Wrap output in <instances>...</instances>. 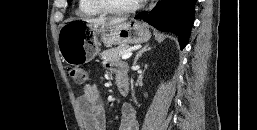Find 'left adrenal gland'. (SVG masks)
<instances>
[{
  "instance_id": "a2214340",
  "label": "left adrenal gland",
  "mask_w": 257,
  "mask_h": 130,
  "mask_svg": "<svg viewBox=\"0 0 257 130\" xmlns=\"http://www.w3.org/2000/svg\"><path fill=\"white\" fill-rule=\"evenodd\" d=\"M150 49H151V48L149 47L148 44H146L143 48H141V49L137 52V54H136V56H135V58H134V64L137 63L138 59L142 56L143 53L149 51Z\"/></svg>"
}]
</instances>
